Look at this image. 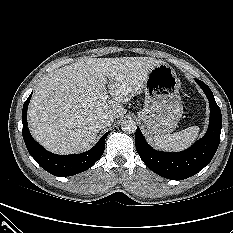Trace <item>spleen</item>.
I'll list each match as a JSON object with an SVG mask.
<instances>
[{
	"instance_id": "3e777b00",
	"label": "spleen",
	"mask_w": 233,
	"mask_h": 233,
	"mask_svg": "<svg viewBox=\"0 0 233 233\" xmlns=\"http://www.w3.org/2000/svg\"><path fill=\"white\" fill-rule=\"evenodd\" d=\"M199 135V127L191 126L174 134L154 136L155 144L165 151H182L190 147Z\"/></svg>"
}]
</instances>
